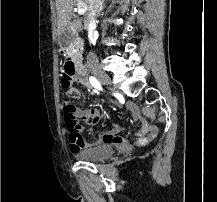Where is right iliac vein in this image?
I'll list each match as a JSON object with an SVG mask.
<instances>
[{
    "instance_id": "63e3f726",
    "label": "right iliac vein",
    "mask_w": 217,
    "mask_h": 202,
    "mask_svg": "<svg viewBox=\"0 0 217 202\" xmlns=\"http://www.w3.org/2000/svg\"><path fill=\"white\" fill-rule=\"evenodd\" d=\"M94 76L102 84L110 85L112 83L110 77L108 75L104 74V73H100V74L94 73Z\"/></svg>"
}]
</instances>
